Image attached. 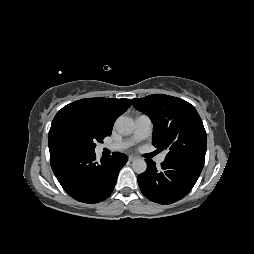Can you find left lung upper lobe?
Segmentation results:
<instances>
[{
  "label": "left lung upper lobe",
  "mask_w": 254,
  "mask_h": 254,
  "mask_svg": "<svg viewBox=\"0 0 254 254\" xmlns=\"http://www.w3.org/2000/svg\"><path fill=\"white\" fill-rule=\"evenodd\" d=\"M133 106L148 115L153 124L152 143L168 151L166 159H186L204 164L206 131L194 106L162 94L132 99Z\"/></svg>",
  "instance_id": "obj_1"
}]
</instances>
